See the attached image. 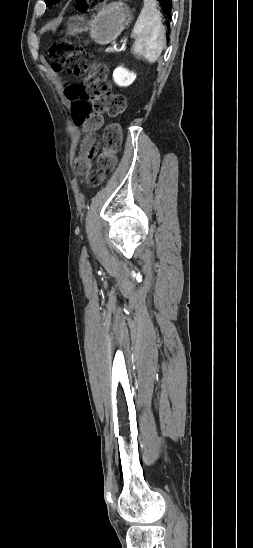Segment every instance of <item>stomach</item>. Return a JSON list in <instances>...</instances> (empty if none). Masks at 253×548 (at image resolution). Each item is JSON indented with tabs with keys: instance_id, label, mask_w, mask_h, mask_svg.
<instances>
[{
	"instance_id": "stomach-1",
	"label": "stomach",
	"mask_w": 253,
	"mask_h": 548,
	"mask_svg": "<svg viewBox=\"0 0 253 548\" xmlns=\"http://www.w3.org/2000/svg\"><path fill=\"white\" fill-rule=\"evenodd\" d=\"M130 19L129 7L122 2H114L102 8L85 27L79 17L71 18L67 33L75 35L89 30L96 43L105 45L117 39Z\"/></svg>"
}]
</instances>
